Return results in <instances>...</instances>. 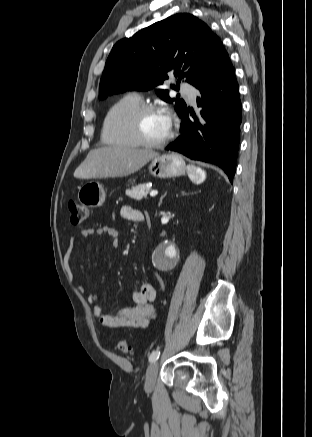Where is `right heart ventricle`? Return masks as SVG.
Listing matches in <instances>:
<instances>
[{"label": "right heart ventricle", "mask_w": 312, "mask_h": 437, "mask_svg": "<svg viewBox=\"0 0 312 437\" xmlns=\"http://www.w3.org/2000/svg\"><path fill=\"white\" fill-rule=\"evenodd\" d=\"M142 104L137 95H125L116 101L107 111L101 130V138L105 144L135 148L140 146L131 130V115Z\"/></svg>", "instance_id": "obj_1"}]
</instances>
